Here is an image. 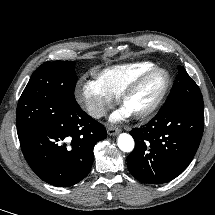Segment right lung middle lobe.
Wrapping results in <instances>:
<instances>
[{"label": "right lung middle lobe", "mask_w": 215, "mask_h": 215, "mask_svg": "<svg viewBox=\"0 0 215 215\" xmlns=\"http://www.w3.org/2000/svg\"><path fill=\"white\" fill-rule=\"evenodd\" d=\"M74 62H45L32 74L17 106L19 139L34 131L55 113L77 104Z\"/></svg>", "instance_id": "1"}]
</instances>
